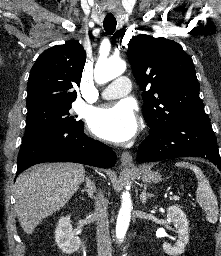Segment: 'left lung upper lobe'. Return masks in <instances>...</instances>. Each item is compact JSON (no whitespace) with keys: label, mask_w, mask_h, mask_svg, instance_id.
Returning <instances> with one entry per match:
<instances>
[{"label":"left lung upper lobe","mask_w":221,"mask_h":256,"mask_svg":"<svg viewBox=\"0 0 221 256\" xmlns=\"http://www.w3.org/2000/svg\"><path fill=\"white\" fill-rule=\"evenodd\" d=\"M128 57L143 91V114L150 129L209 118L199 98L193 61L177 42L140 34L130 40Z\"/></svg>","instance_id":"5c2ea615"}]
</instances>
